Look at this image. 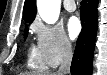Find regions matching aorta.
<instances>
[{
  "label": "aorta",
  "mask_w": 107,
  "mask_h": 75,
  "mask_svg": "<svg viewBox=\"0 0 107 75\" xmlns=\"http://www.w3.org/2000/svg\"><path fill=\"white\" fill-rule=\"evenodd\" d=\"M60 0H37L38 13L47 24L57 22L60 15Z\"/></svg>",
  "instance_id": "762f6f07"
}]
</instances>
